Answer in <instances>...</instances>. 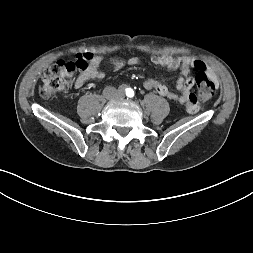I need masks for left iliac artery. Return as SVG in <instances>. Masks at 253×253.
I'll return each mask as SVG.
<instances>
[{"label": "left iliac artery", "instance_id": "left-iliac-artery-1", "mask_svg": "<svg viewBox=\"0 0 253 253\" xmlns=\"http://www.w3.org/2000/svg\"><path fill=\"white\" fill-rule=\"evenodd\" d=\"M126 95L128 97H133L134 96V91L131 88L126 89Z\"/></svg>", "mask_w": 253, "mask_h": 253}]
</instances>
